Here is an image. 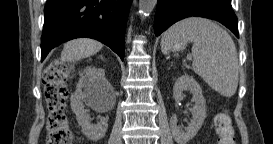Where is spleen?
Masks as SVG:
<instances>
[{"instance_id": "spleen-1", "label": "spleen", "mask_w": 273, "mask_h": 144, "mask_svg": "<svg viewBox=\"0 0 273 144\" xmlns=\"http://www.w3.org/2000/svg\"><path fill=\"white\" fill-rule=\"evenodd\" d=\"M175 41L193 43V70L212 89L225 97L235 94L239 80L237 50L227 31L209 19L190 17L163 34L162 52L168 54Z\"/></svg>"}]
</instances>
